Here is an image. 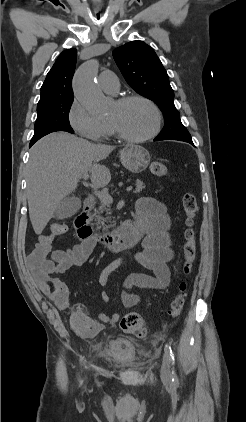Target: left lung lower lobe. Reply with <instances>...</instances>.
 Wrapping results in <instances>:
<instances>
[{
  "label": "left lung lower lobe",
  "instance_id": "1",
  "mask_svg": "<svg viewBox=\"0 0 246 422\" xmlns=\"http://www.w3.org/2000/svg\"><path fill=\"white\" fill-rule=\"evenodd\" d=\"M154 141H158V139H157V138H155V139H154ZM185 142H188V143H190L191 145H193V146H194V144H193V142H192V139H190V140H185Z\"/></svg>",
  "mask_w": 246,
  "mask_h": 422
}]
</instances>
